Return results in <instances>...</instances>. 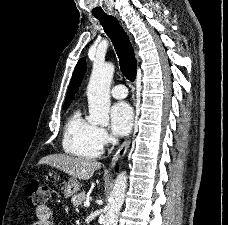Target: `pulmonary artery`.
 Masks as SVG:
<instances>
[{
    "label": "pulmonary artery",
    "mask_w": 228,
    "mask_h": 225,
    "mask_svg": "<svg viewBox=\"0 0 228 225\" xmlns=\"http://www.w3.org/2000/svg\"><path fill=\"white\" fill-rule=\"evenodd\" d=\"M110 93L114 98L123 99L128 95V89L126 88V86L119 84L114 86L111 89Z\"/></svg>",
    "instance_id": "obj_1"
}]
</instances>
